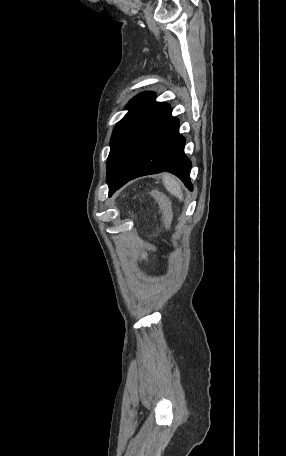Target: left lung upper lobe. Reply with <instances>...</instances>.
Returning a JSON list of instances; mask_svg holds the SVG:
<instances>
[{"label":"left lung upper lobe","instance_id":"1","mask_svg":"<svg viewBox=\"0 0 286 456\" xmlns=\"http://www.w3.org/2000/svg\"><path fill=\"white\" fill-rule=\"evenodd\" d=\"M169 104L156 102L153 92H143L134 97L126 106L128 113L116 124L107 159V182L110 184L122 159L139 134L162 115Z\"/></svg>","mask_w":286,"mask_h":456}]
</instances>
